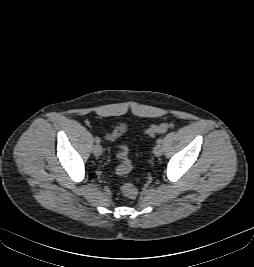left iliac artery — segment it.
<instances>
[{
  "mask_svg": "<svg viewBox=\"0 0 254 267\" xmlns=\"http://www.w3.org/2000/svg\"><path fill=\"white\" fill-rule=\"evenodd\" d=\"M162 142H163V139H162V138H159V139L157 140V144H162Z\"/></svg>",
  "mask_w": 254,
  "mask_h": 267,
  "instance_id": "left-iliac-artery-1",
  "label": "left iliac artery"
}]
</instances>
